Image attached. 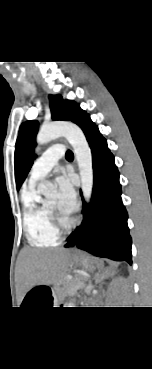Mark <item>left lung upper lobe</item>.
I'll return each mask as SVG.
<instances>
[{"label":"left lung upper lobe","mask_w":152,"mask_h":369,"mask_svg":"<svg viewBox=\"0 0 152 369\" xmlns=\"http://www.w3.org/2000/svg\"><path fill=\"white\" fill-rule=\"evenodd\" d=\"M49 99L53 120L72 121L80 126L89 117L74 101H64L60 95H50ZM37 131L38 122L36 121H27L20 126L15 148V179L18 190L34 161L33 148L36 145Z\"/></svg>","instance_id":"left-lung-upper-lobe-1"}]
</instances>
